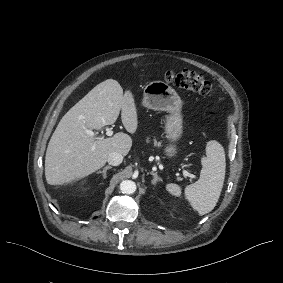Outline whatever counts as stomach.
Here are the masks:
<instances>
[{
	"label": "stomach",
	"instance_id": "obj_1",
	"mask_svg": "<svg viewBox=\"0 0 283 283\" xmlns=\"http://www.w3.org/2000/svg\"><path fill=\"white\" fill-rule=\"evenodd\" d=\"M141 107L173 113L167 120L166 131L171 139L179 137L181 133V117L177 112L181 107V100L169 85L162 81L150 82L144 89ZM167 152L172 154V148H168Z\"/></svg>",
	"mask_w": 283,
	"mask_h": 283
}]
</instances>
